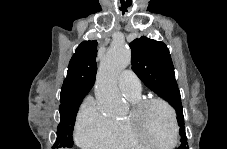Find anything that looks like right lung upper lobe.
I'll list each match as a JSON object with an SVG mask.
<instances>
[{
	"label": "right lung upper lobe",
	"instance_id": "cb5924a9",
	"mask_svg": "<svg viewBox=\"0 0 227 149\" xmlns=\"http://www.w3.org/2000/svg\"><path fill=\"white\" fill-rule=\"evenodd\" d=\"M97 41H83L72 56L61 88V105L83 99L95 82Z\"/></svg>",
	"mask_w": 227,
	"mask_h": 149
}]
</instances>
